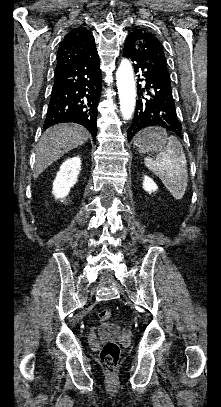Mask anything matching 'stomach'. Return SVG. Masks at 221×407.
<instances>
[{"instance_id": "0dacf381", "label": "stomach", "mask_w": 221, "mask_h": 407, "mask_svg": "<svg viewBox=\"0 0 221 407\" xmlns=\"http://www.w3.org/2000/svg\"><path fill=\"white\" fill-rule=\"evenodd\" d=\"M167 133L160 128H147L136 137L134 145L140 153L162 151L165 148Z\"/></svg>"}]
</instances>
